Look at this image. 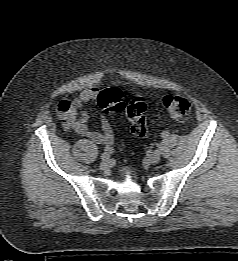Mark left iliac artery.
<instances>
[{"instance_id":"obj_1","label":"left iliac artery","mask_w":238,"mask_h":261,"mask_svg":"<svg viewBox=\"0 0 238 261\" xmlns=\"http://www.w3.org/2000/svg\"><path fill=\"white\" fill-rule=\"evenodd\" d=\"M169 136V132L168 131H163L162 133H161V137L162 138H167Z\"/></svg>"}]
</instances>
